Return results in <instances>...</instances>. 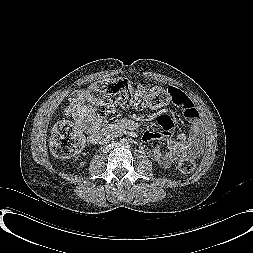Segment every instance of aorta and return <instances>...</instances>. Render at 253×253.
<instances>
[{
	"label": "aorta",
	"mask_w": 253,
	"mask_h": 253,
	"mask_svg": "<svg viewBox=\"0 0 253 253\" xmlns=\"http://www.w3.org/2000/svg\"><path fill=\"white\" fill-rule=\"evenodd\" d=\"M119 143H120V145H121L122 147H124V148L127 147L128 144H129L128 140L125 139V138L121 139Z\"/></svg>",
	"instance_id": "762f6f07"
}]
</instances>
